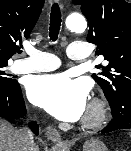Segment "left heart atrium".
Instances as JSON below:
<instances>
[{
	"instance_id": "1",
	"label": "left heart atrium",
	"mask_w": 131,
	"mask_h": 151,
	"mask_svg": "<svg viewBox=\"0 0 131 151\" xmlns=\"http://www.w3.org/2000/svg\"><path fill=\"white\" fill-rule=\"evenodd\" d=\"M27 95L33 104L64 121L80 119L87 108V86L62 73L33 77Z\"/></svg>"
}]
</instances>
